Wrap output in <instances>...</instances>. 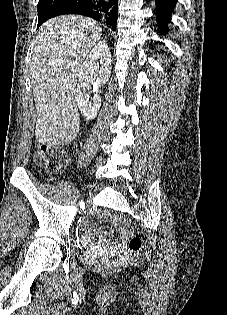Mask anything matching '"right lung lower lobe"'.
Here are the masks:
<instances>
[{"label":"right lung lower lobe","mask_w":227,"mask_h":315,"mask_svg":"<svg viewBox=\"0 0 227 315\" xmlns=\"http://www.w3.org/2000/svg\"><path fill=\"white\" fill-rule=\"evenodd\" d=\"M65 14H79L91 17L116 30L118 0H63L50 12L55 17Z\"/></svg>","instance_id":"1"}]
</instances>
